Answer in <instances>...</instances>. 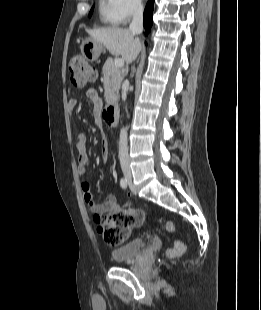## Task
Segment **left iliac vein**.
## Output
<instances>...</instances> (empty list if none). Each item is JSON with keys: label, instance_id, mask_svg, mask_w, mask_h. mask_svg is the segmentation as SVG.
Instances as JSON below:
<instances>
[{"label": "left iliac vein", "instance_id": "left-iliac-vein-1", "mask_svg": "<svg viewBox=\"0 0 261 310\" xmlns=\"http://www.w3.org/2000/svg\"><path fill=\"white\" fill-rule=\"evenodd\" d=\"M129 179V182H131V177L130 178H128Z\"/></svg>", "mask_w": 261, "mask_h": 310}]
</instances>
